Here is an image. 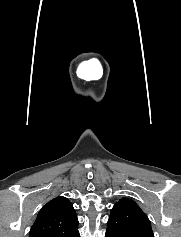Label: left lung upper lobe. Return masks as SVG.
Instances as JSON below:
<instances>
[{"label":"left lung upper lobe","instance_id":"5c2ea615","mask_svg":"<svg viewBox=\"0 0 181 237\" xmlns=\"http://www.w3.org/2000/svg\"><path fill=\"white\" fill-rule=\"evenodd\" d=\"M106 234L114 237H154L150 220L130 199H120L112 208Z\"/></svg>","mask_w":181,"mask_h":237}]
</instances>
